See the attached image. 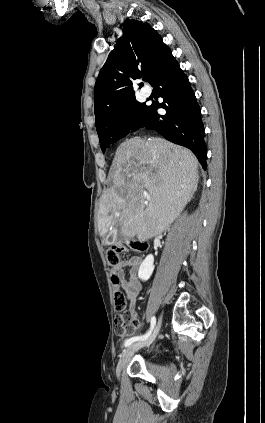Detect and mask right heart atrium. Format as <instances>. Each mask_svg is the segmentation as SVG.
Instances as JSON below:
<instances>
[{"label": "right heart atrium", "mask_w": 265, "mask_h": 423, "mask_svg": "<svg viewBox=\"0 0 265 423\" xmlns=\"http://www.w3.org/2000/svg\"><path fill=\"white\" fill-rule=\"evenodd\" d=\"M130 120H131V115L130 114H125L124 116H123V121L124 122H130Z\"/></svg>", "instance_id": "right-heart-atrium-1"}]
</instances>
